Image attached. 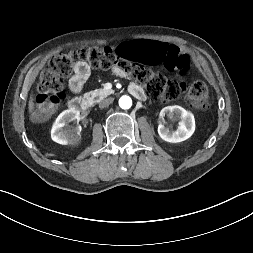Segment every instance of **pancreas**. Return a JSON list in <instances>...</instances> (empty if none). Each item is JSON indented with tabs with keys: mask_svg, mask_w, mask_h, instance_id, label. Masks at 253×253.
<instances>
[{
	"mask_svg": "<svg viewBox=\"0 0 253 253\" xmlns=\"http://www.w3.org/2000/svg\"><path fill=\"white\" fill-rule=\"evenodd\" d=\"M112 93H113V90L97 89V90L87 93L86 96H90L91 99L97 98L96 101H99Z\"/></svg>",
	"mask_w": 253,
	"mask_h": 253,
	"instance_id": "obj_1",
	"label": "pancreas"
}]
</instances>
